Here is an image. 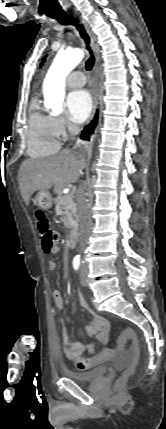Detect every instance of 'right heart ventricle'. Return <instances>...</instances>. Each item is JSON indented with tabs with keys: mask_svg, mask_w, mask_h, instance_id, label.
Wrapping results in <instances>:
<instances>
[{
	"mask_svg": "<svg viewBox=\"0 0 166 429\" xmlns=\"http://www.w3.org/2000/svg\"><path fill=\"white\" fill-rule=\"evenodd\" d=\"M59 147L60 142L52 128L51 116L40 107L37 98L33 99L27 136L29 155L35 158L49 156L56 153Z\"/></svg>",
	"mask_w": 166,
	"mask_h": 429,
	"instance_id": "e07e8e85",
	"label": "right heart ventricle"
}]
</instances>
